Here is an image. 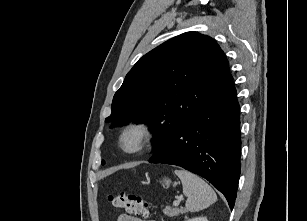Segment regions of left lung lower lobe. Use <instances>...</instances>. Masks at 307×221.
Wrapping results in <instances>:
<instances>
[{"instance_id": "0a47b994", "label": "left lung lower lobe", "mask_w": 307, "mask_h": 221, "mask_svg": "<svg viewBox=\"0 0 307 221\" xmlns=\"http://www.w3.org/2000/svg\"><path fill=\"white\" fill-rule=\"evenodd\" d=\"M240 107L233 80L188 119L149 161L183 167L207 179L234 207L240 175Z\"/></svg>"}]
</instances>
